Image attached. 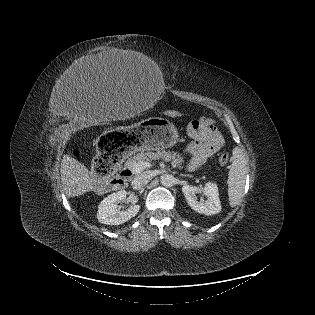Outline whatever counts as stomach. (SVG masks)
<instances>
[{
	"label": "stomach",
	"instance_id": "1",
	"mask_svg": "<svg viewBox=\"0 0 315 315\" xmlns=\"http://www.w3.org/2000/svg\"><path fill=\"white\" fill-rule=\"evenodd\" d=\"M178 141V129L172 122L151 117L124 130L105 133L99 141V152L105 160L113 161L137 151L170 148Z\"/></svg>",
	"mask_w": 315,
	"mask_h": 315
}]
</instances>
